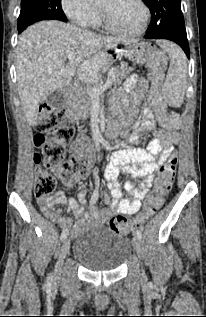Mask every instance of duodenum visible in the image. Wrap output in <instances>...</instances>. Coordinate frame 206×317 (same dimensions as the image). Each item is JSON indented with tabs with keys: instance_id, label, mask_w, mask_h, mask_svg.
<instances>
[{
	"instance_id": "obj_1",
	"label": "duodenum",
	"mask_w": 206,
	"mask_h": 317,
	"mask_svg": "<svg viewBox=\"0 0 206 317\" xmlns=\"http://www.w3.org/2000/svg\"><path fill=\"white\" fill-rule=\"evenodd\" d=\"M65 109H66V111H68L69 115H76V113H77V110L75 108L73 100H66L65 101ZM107 131H108V135L110 137H114L115 135L120 133L121 127L119 126L118 121L111 123L108 126ZM102 135L104 136L105 134L103 133Z\"/></svg>"
}]
</instances>
